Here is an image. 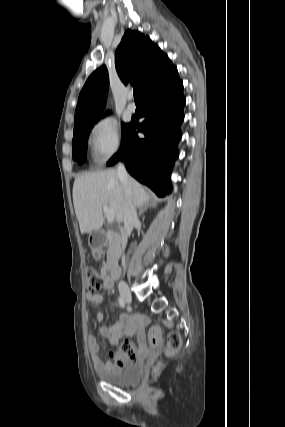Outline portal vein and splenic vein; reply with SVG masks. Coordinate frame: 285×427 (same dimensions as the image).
Returning <instances> with one entry per match:
<instances>
[{
  "mask_svg": "<svg viewBox=\"0 0 285 427\" xmlns=\"http://www.w3.org/2000/svg\"><path fill=\"white\" fill-rule=\"evenodd\" d=\"M103 211L109 222H113L115 219V212L113 209L109 208L107 205L103 206Z\"/></svg>",
  "mask_w": 285,
  "mask_h": 427,
  "instance_id": "18ae733b",
  "label": "portal vein and splenic vein"
}]
</instances>
